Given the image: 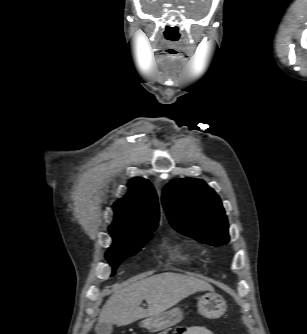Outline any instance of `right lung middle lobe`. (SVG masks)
Returning <instances> with one entry per match:
<instances>
[{
	"label": "right lung middle lobe",
	"instance_id": "right-lung-middle-lobe-1",
	"mask_svg": "<svg viewBox=\"0 0 307 334\" xmlns=\"http://www.w3.org/2000/svg\"><path fill=\"white\" fill-rule=\"evenodd\" d=\"M151 228L131 235L112 236L113 244L105 254L106 259L115 268L127 257L136 254L152 238Z\"/></svg>",
	"mask_w": 307,
	"mask_h": 334
}]
</instances>
